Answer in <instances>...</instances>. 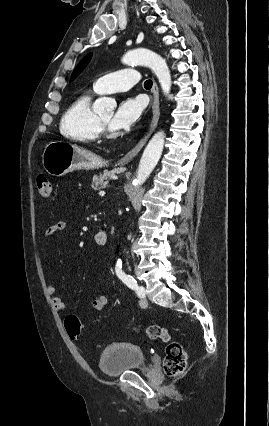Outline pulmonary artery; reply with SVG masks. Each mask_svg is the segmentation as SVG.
I'll list each match as a JSON object with an SVG mask.
<instances>
[{"mask_svg": "<svg viewBox=\"0 0 269 426\" xmlns=\"http://www.w3.org/2000/svg\"><path fill=\"white\" fill-rule=\"evenodd\" d=\"M140 79L135 68L121 69L99 78L93 85L97 94L123 92L134 86Z\"/></svg>", "mask_w": 269, "mask_h": 426, "instance_id": "pulmonary-artery-1", "label": "pulmonary artery"}]
</instances>
